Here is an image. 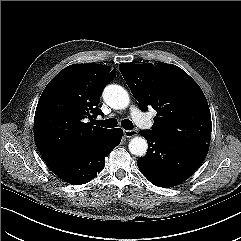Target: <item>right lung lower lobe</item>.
Returning <instances> with one entry per match:
<instances>
[{"instance_id":"1","label":"right lung lower lobe","mask_w":241,"mask_h":241,"mask_svg":"<svg viewBox=\"0 0 241 241\" xmlns=\"http://www.w3.org/2000/svg\"><path fill=\"white\" fill-rule=\"evenodd\" d=\"M122 133L120 128L112 129L106 137L85 151L47 165L64 181L72 185L85 184L102 171L104 158L120 143Z\"/></svg>"}]
</instances>
